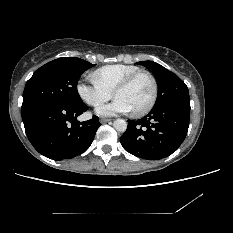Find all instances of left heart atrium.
<instances>
[{
  "mask_svg": "<svg viewBox=\"0 0 233 233\" xmlns=\"http://www.w3.org/2000/svg\"><path fill=\"white\" fill-rule=\"evenodd\" d=\"M130 111H132L130 105L121 98H115L112 103L97 109V113L102 116H114Z\"/></svg>",
  "mask_w": 233,
  "mask_h": 233,
  "instance_id": "39dd6f15",
  "label": "left heart atrium"
}]
</instances>
